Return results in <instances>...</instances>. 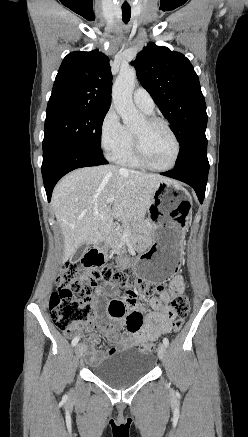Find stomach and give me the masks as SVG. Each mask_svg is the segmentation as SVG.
Listing matches in <instances>:
<instances>
[{
	"instance_id": "1",
	"label": "stomach",
	"mask_w": 248,
	"mask_h": 437,
	"mask_svg": "<svg viewBox=\"0 0 248 437\" xmlns=\"http://www.w3.org/2000/svg\"><path fill=\"white\" fill-rule=\"evenodd\" d=\"M152 225L150 245L138 257L133 270L145 286H167V279L180 266L182 248L191 213V198L180 185L160 182L148 207ZM130 261L120 260L119 270L126 272Z\"/></svg>"
}]
</instances>
